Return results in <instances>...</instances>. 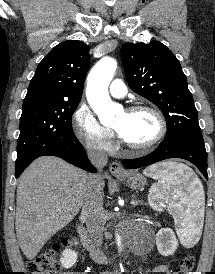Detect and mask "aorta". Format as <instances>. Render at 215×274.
Wrapping results in <instances>:
<instances>
[{"mask_svg": "<svg viewBox=\"0 0 215 274\" xmlns=\"http://www.w3.org/2000/svg\"><path fill=\"white\" fill-rule=\"evenodd\" d=\"M116 68L115 59L104 57L96 63L88 76L87 100L103 125L113 122L115 115L122 110L119 104L112 102L108 93Z\"/></svg>", "mask_w": 215, "mask_h": 274, "instance_id": "aorta-1", "label": "aorta"}]
</instances>
